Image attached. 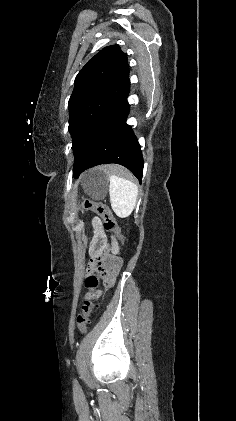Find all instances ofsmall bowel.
<instances>
[{"instance_id":"small-bowel-1","label":"small bowel","mask_w":236,"mask_h":421,"mask_svg":"<svg viewBox=\"0 0 236 421\" xmlns=\"http://www.w3.org/2000/svg\"><path fill=\"white\" fill-rule=\"evenodd\" d=\"M92 227L94 231L93 243L90 247V257H97L105 254L109 250V246L106 242V233L103 228V224L98 217L92 219ZM115 245V243H113Z\"/></svg>"}]
</instances>
